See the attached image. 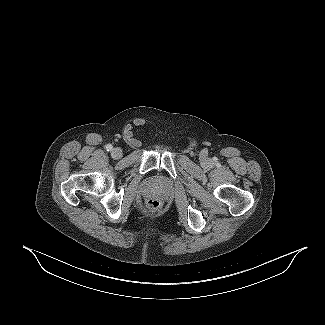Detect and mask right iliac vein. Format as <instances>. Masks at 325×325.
<instances>
[{"mask_svg":"<svg viewBox=\"0 0 325 325\" xmlns=\"http://www.w3.org/2000/svg\"><path fill=\"white\" fill-rule=\"evenodd\" d=\"M111 155L114 159H119L122 157V149L121 148H114L111 152Z\"/></svg>","mask_w":325,"mask_h":325,"instance_id":"63e3f726","label":"right iliac vein"}]
</instances>
